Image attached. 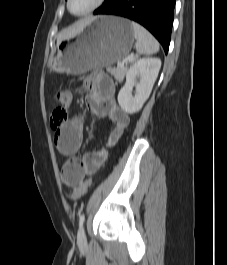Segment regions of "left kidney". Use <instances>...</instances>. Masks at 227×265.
<instances>
[{"mask_svg":"<svg viewBox=\"0 0 227 265\" xmlns=\"http://www.w3.org/2000/svg\"><path fill=\"white\" fill-rule=\"evenodd\" d=\"M160 67V59L142 58L129 68L126 83L118 94V103L124 112L134 114L141 110L152 91ZM137 78H139L138 83ZM133 87L136 88L134 95H132Z\"/></svg>","mask_w":227,"mask_h":265,"instance_id":"1","label":"left kidney"}]
</instances>
